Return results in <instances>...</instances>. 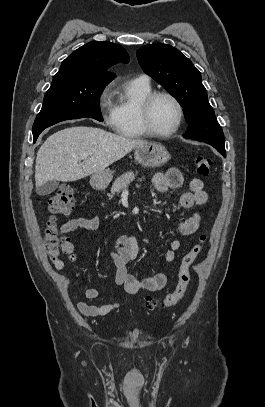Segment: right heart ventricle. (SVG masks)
<instances>
[{
	"label": "right heart ventricle",
	"mask_w": 265,
	"mask_h": 407,
	"mask_svg": "<svg viewBox=\"0 0 265 407\" xmlns=\"http://www.w3.org/2000/svg\"><path fill=\"white\" fill-rule=\"evenodd\" d=\"M152 93L150 82L135 78L124 86L123 95L114 107L113 128L125 138H143L147 136L140 124L139 108L143 100Z\"/></svg>",
	"instance_id": "e07e8e85"
}]
</instances>
